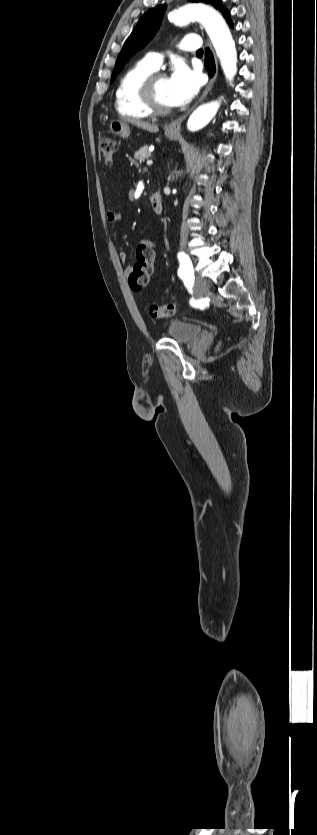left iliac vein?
Wrapping results in <instances>:
<instances>
[{
    "label": "left iliac vein",
    "instance_id": "4c4485c4",
    "mask_svg": "<svg viewBox=\"0 0 317 835\" xmlns=\"http://www.w3.org/2000/svg\"><path fill=\"white\" fill-rule=\"evenodd\" d=\"M194 291L198 298L205 296L209 291V284L200 276H196L194 283Z\"/></svg>",
    "mask_w": 317,
    "mask_h": 835
}]
</instances>
